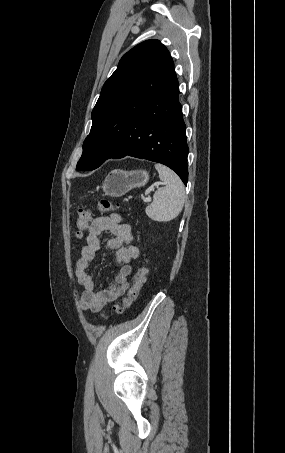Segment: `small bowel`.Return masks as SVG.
I'll list each match as a JSON object with an SVG mask.
<instances>
[{
    "mask_svg": "<svg viewBox=\"0 0 285 453\" xmlns=\"http://www.w3.org/2000/svg\"><path fill=\"white\" fill-rule=\"evenodd\" d=\"M105 232L111 234L107 246L115 251L114 260L120 266V270L111 285L98 291L90 265L100 252V235ZM139 255L138 247L133 244V232L130 224L117 215L99 216L93 219L88 228L86 244L82 247L80 258L76 264V277L78 283L83 287L80 307L83 310L98 312L106 304L124 294L129 286V276L132 272L131 262Z\"/></svg>",
    "mask_w": 285,
    "mask_h": 453,
    "instance_id": "c3829d8e",
    "label": "small bowel"
}]
</instances>
